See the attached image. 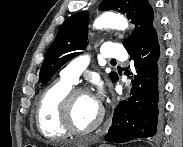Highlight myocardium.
I'll use <instances>...</instances> for the list:
<instances>
[{
	"label": "myocardium",
	"instance_id": "obj_1",
	"mask_svg": "<svg viewBox=\"0 0 183 147\" xmlns=\"http://www.w3.org/2000/svg\"><path fill=\"white\" fill-rule=\"evenodd\" d=\"M91 95L90 92L81 87L72 88L62 99L59 106V118L62 126L74 135H87L94 132L103 122L105 111L101 104H99V114L95 122L86 129H79L74 125L72 118V106L74 100L80 95Z\"/></svg>",
	"mask_w": 183,
	"mask_h": 147
}]
</instances>
